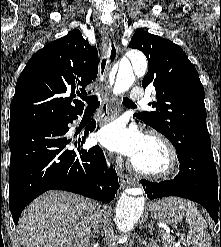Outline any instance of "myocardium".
<instances>
[{"instance_id":"obj_1","label":"myocardium","mask_w":221,"mask_h":247,"mask_svg":"<svg viewBox=\"0 0 221 247\" xmlns=\"http://www.w3.org/2000/svg\"><path fill=\"white\" fill-rule=\"evenodd\" d=\"M146 137L159 142L165 148L168 155V166L160 172H148L140 169L133 160H130L129 164L133 172L150 180H166L174 177L180 170V156L176 146L167 136L156 130L149 131Z\"/></svg>"}]
</instances>
